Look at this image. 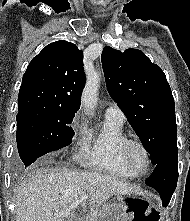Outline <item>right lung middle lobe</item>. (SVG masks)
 Listing matches in <instances>:
<instances>
[{"instance_id": "1", "label": "right lung middle lobe", "mask_w": 190, "mask_h": 221, "mask_svg": "<svg viewBox=\"0 0 190 221\" xmlns=\"http://www.w3.org/2000/svg\"><path fill=\"white\" fill-rule=\"evenodd\" d=\"M75 111L34 108L17 114V147L25 166L42 155L68 146Z\"/></svg>"}]
</instances>
